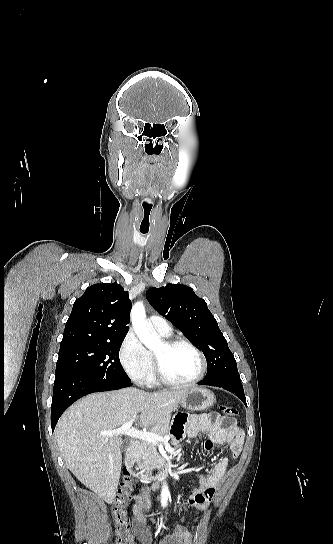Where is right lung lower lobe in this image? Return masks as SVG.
Segmentation results:
<instances>
[{
	"mask_svg": "<svg viewBox=\"0 0 333 544\" xmlns=\"http://www.w3.org/2000/svg\"><path fill=\"white\" fill-rule=\"evenodd\" d=\"M131 385V382L117 383L110 380H97L68 371L56 373L51 405L52 432L61 414L79 398L90 393L117 390Z\"/></svg>",
	"mask_w": 333,
	"mask_h": 544,
	"instance_id": "98d812e1",
	"label": "right lung lower lobe"
}]
</instances>
